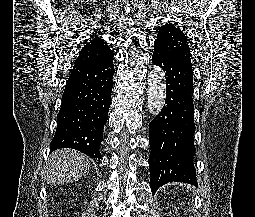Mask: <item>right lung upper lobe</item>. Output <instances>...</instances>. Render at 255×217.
Instances as JSON below:
<instances>
[{"instance_id": "1", "label": "right lung upper lobe", "mask_w": 255, "mask_h": 217, "mask_svg": "<svg viewBox=\"0 0 255 217\" xmlns=\"http://www.w3.org/2000/svg\"><path fill=\"white\" fill-rule=\"evenodd\" d=\"M113 51L103 39L96 37L82 47L79 56L75 60L74 66H89L102 64L112 60Z\"/></svg>"}]
</instances>
